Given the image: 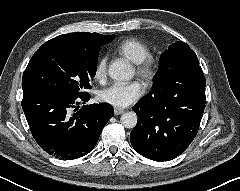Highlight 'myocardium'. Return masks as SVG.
<instances>
[{"label": "myocardium", "instance_id": "obj_1", "mask_svg": "<svg viewBox=\"0 0 240 191\" xmlns=\"http://www.w3.org/2000/svg\"><path fill=\"white\" fill-rule=\"evenodd\" d=\"M136 72L142 79L151 82L157 76L158 63L154 58L148 56L143 61L137 63Z\"/></svg>", "mask_w": 240, "mask_h": 191}]
</instances>
